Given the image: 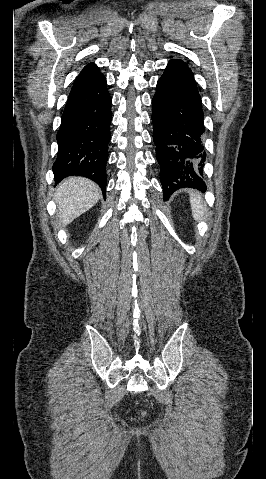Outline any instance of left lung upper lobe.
Listing matches in <instances>:
<instances>
[{"instance_id": "1", "label": "left lung upper lobe", "mask_w": 266, "mask_h": 479, "mask_svg": "<svg viewBox=\"0 0 266 479\" xmlns=\"http://www.w3.org/2000/svg\"><path fill=\"white\" fill-rule=\"evenodd\" d=\"M171 61H174V62H177V63H180V64H183V65L187 66V64L185 62L181 61V60L174 59V60H171Z\"/></svg>"}]
</instances>
